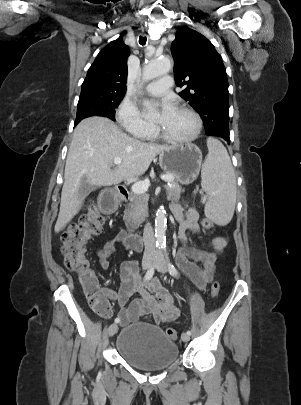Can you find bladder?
Wrapping results in <instances>:
<instances>
[{
  "label": "bladder",
  "instance_id": "31cf9c89",
  "mask_svg": "<svg viewBox=\"0 0 301 405\" xmlns=\"http://www.w3.org/2000/svg\"><path fill=\"white\" fill-rule=\"evenodd\" d=\"M116 351L129 364L145 371L169 367L179 353L177 344L161 328L146 322L124 327L118 334Z\"/></svg>",
  "mask_w": 301,
  "mask_h": 405
}]
</instances>
